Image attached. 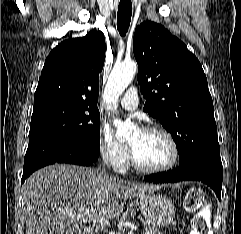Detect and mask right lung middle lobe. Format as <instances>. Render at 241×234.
Wrapping results in <instances>:
<instances>
[{
	"instance_id": "obj_1",
	"label": "right lung middle lobe",
	"mask_w": 241,
	"mask_h": 234,
	"mask_svg": "<svg viewBox=\"0 0 241 234\" xmlns=\"http://www.w3.org/2000/svg\"><path fill=\"white\" fill-rule=\"evenodd\" d=\"M48 137L68 139L99 154L98 108L63 102L35 105L31 117L29 142Z\"/></svg>"
}]
</instances>
